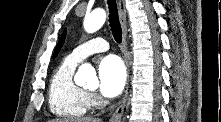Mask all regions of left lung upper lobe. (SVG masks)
<instances>
[{
    "label": "left lung upper lobe",
    "instance_id": "left-lung-upper-lobe-1",
    "mask_svg": "<svg viewBox=\"0 0 221 122\" xmlns=\"http://www.w3.org/2000/svg\"><path fill=\"white\" fill-rule=\"evenodd\" d=\"M65 34H66V31L63 32V34L58 42V45H57L55 53H54V58L56 57V55L58 54V52L60 51V49L63 45L64 39H65Z\"/></svg>",
    "mask_w": 221,
    "mask_h": 122
}]
</instances>
